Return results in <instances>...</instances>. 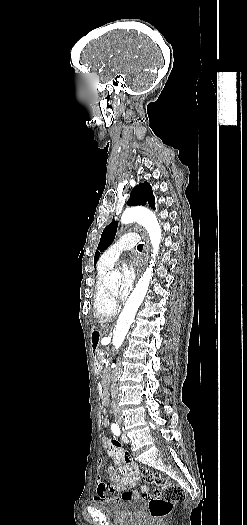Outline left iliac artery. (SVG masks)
<instances>
[{
	"label": "left iliac artery",
	"instance_id": "left-iliac-artery-1",
	"mask_svg": "<svg viewBox=\"0 0 247 525\" xmlns=\"http://www.w3.org/2000/svg\"><path fill=\"white\" fill-rule=\"evenodd\" d=\"M111 429H112V432L116 435V436H119L120 435V428L117 424L113 423L111 425Z\"/></svg>",
	"mask_w": 247,
	"mask_h": 525
}]
</instances>
